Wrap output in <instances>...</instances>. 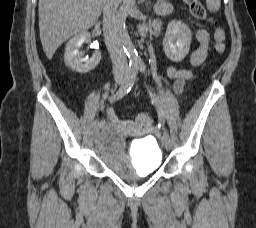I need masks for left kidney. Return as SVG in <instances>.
Segmentation results:
<instances>
[{
    "instance_id": "1",
    "label": "left kidney",
    "mask_w": 256,
    "mask_h": 228,
    "mask_svg": "<svg viewBox=\"0 0 256 228\" xmlns=\"http://www.w3.org/2000/svg\"><path fill=\"white\" fill-rule=\"evenodd\" d=\"M191 31L181 21H172L168 24L163 39V49L166 56L173 62L182 61L189 52Z\"/></svg>"
}]
</instances>
